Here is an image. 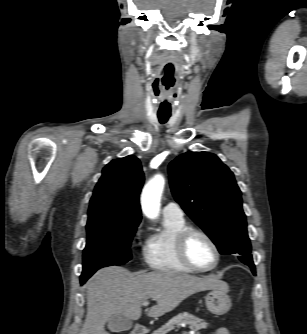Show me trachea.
Wrapping results in <instances>:
<instances>
[{"instance_id":"trachea-1","label":"trachea","mask_w":307,"mask_h":334,"mask_svg":"<svg viewBox=\"0 0 307 334\" xmlns=\"http://www.w3.org/2000/svg\"><path fill=\"white\" fill-rule=\"evenodd\" d=\"M169 118H170V115H158V119L161 124H165Z\"/></svg>"}]
</instances>
